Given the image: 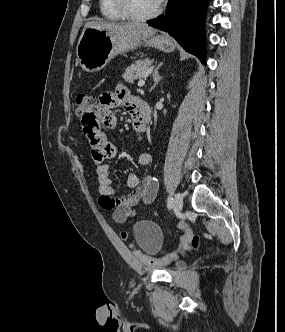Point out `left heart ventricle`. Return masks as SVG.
<instances>
[{
  "mask_svg": "<svg viewBox=\"0 0 285 332\" xmlns=\"http://www.w3.org/2000/svg\"><path fill=\"white\" fill-rule=\"evenodd\" d=\"M133 10L137 14H149L153 12L159 4L156 0H130Z\"/></svg>",
  "mask_w": 285,
  "mask_h": 332,
  "instance_id": "obj_1",
  "label": "left heart ventricle"
}]
</instances>
